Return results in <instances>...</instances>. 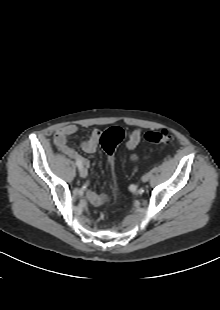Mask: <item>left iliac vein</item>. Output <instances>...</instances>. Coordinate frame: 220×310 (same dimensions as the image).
<instances>
[{
	"instance_id": "1",
	"label": "left iliac vein",
	"mask_w": 220,
	"mask_h": 310,
	"mask_svg": "<svg viewBox=\"0 0 220 310\" xmlns=\"http://www.w3.org/2000/svg\"><path fill=\"white\" fill-rule=\"evenodd\" d=\"M142 181H143V182L148 181V176H147V175L143 176V177H142Z\"/></svg>"
}]
</instances>
